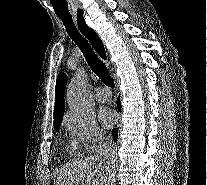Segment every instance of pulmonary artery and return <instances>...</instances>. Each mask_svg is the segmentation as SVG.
I'll use <instances>...</instances> for the list:
<instances>
[{"mask_svg": "<svg viewBox=\"0 0 207 185\" xmlns=\"http://www.w3.org/2000/svg\"><path fill=\"white\" fill-rule=\"evenodd\" d=\"M85 74V73H80ZM111 92L109 90H102L101 88L96 89L95 91V98L98 102L106 103L111 99Z\"/></svg>", "mask_w": 207, "mask_h": 185, "instance_id": "1", "label": "pulmonary artery"}]
</instances>
